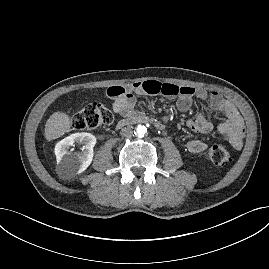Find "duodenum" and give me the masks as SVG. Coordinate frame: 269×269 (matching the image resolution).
<instances>
[{"label":"duodenum","mask_w":269,"mask_h":269,"mask_svg":"<svg viewBox=\"0 0 269 269\" xmlns=\"http://www.w3.org/2000/svg\"><path fill=\"white\" fill-rule=\"evenodd\" d=\"M148 122L153 123L158 129H163V125L160 122L150 119L146 116H142V115H135V116L127 117L120 120L117 124V128H122L125 126L139 124V123H148Z\"/></svg>","instance_id":"obj_1"}]
</instances>
